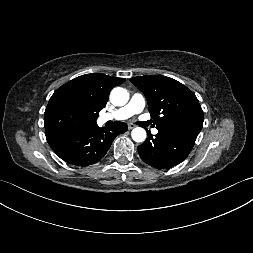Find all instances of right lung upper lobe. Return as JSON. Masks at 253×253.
Instances as JSON below:
<instances>
[{
  "label": "right lung upper lobe",
  "mask_w": 253,
  "mask_h": 253,
  "mask_svg": "<svg viewBox=\"0 0 253 253\" xmlns=\"http://www.w3.org/2000/svg\"><path fill=\"white\" fill-rule=\"evenodd\" d=\"M124 78H116L101 73L86 74L67 82L54 94H67L73 97L79 104L91 114L98 117L108 101L112 88L122 84Z\"/></svg>",
  "instance_id": "obj_1"
}]
</instances>
